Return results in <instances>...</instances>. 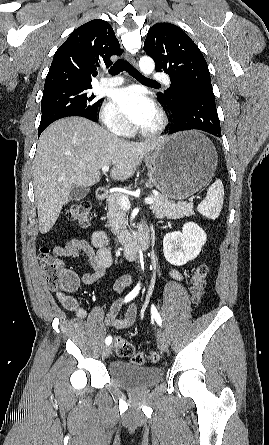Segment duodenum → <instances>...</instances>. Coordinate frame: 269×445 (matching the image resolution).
Segmentation results:
<instances>
[{
	"mask_svg": "<svg viewBox=\"0 0 269 445\" xmlns=\"http://www.w3.org/2000/svg\"><path fill=\"white\" fill-rule=\"evenodd\" d=\"M96 196L98 200L103 201L107 198L108 192L104 188H99L97 189ZM149 244L150 237L148 232L142 231L135 240L123 242L120 249L122 255L126 259H135L139 256V254L147 250Z\"/></svg>",
	"mask_w": 269,
	"mask_h": 445,
	"instance_id": "410a0bca",
	"label": "duodenum"
}]
</instances>
